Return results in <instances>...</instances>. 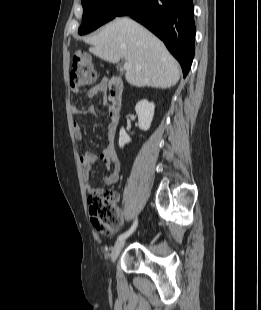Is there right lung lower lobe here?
<instances>
[{"instance_id":"1","label":"right lung lower lobe","mask_w":261,"mask_h":310,"mask_svg":"<svg viewBox=\"0 0 261 310\" xmlns=\"http://www.w3.org/2000/svg\"><path fill=\"white\" fill-rule=\"evenodd\" d=\"M124 15L158 36L181 64L184 77L188 74L196 32L192 0H128L117 13Z\"/></svg>"}]
</instances>
